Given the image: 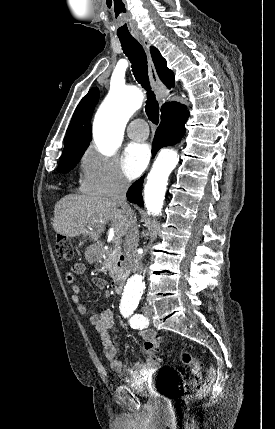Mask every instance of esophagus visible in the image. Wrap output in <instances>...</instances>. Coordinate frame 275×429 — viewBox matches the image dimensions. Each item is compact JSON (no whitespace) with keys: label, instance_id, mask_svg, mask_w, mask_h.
<instances>
[{"label":"esophagus","instance_id":"esophagus-1","mask_svg":"<svg viewBox=\"0 0 275 429\" xmlns=\"http://www.w3.org/2000/svg\"><path fill=\"white\" fill-rule=\"evenodd\" d=\"M136 38L142 43V45H143V47L147 53L149 76H150L151 82L153 84V87L155 89L156 96H157L158 100L161 102L166 97L167 92H166L161 80L159 79V77L157 75L154 63H153L152 58L150 56V52H149L150 44H149L148 40L141 35L137 36Z\"/></svg>","mask_w":275,"mask_h":429}]
</instances>
